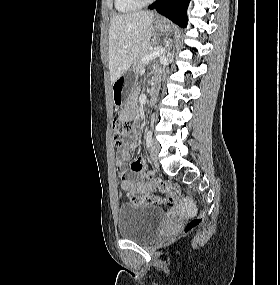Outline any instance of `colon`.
I'll list each match as a JSON object with an SVG mask.
<instances>
[{
  "instance_id": "1",
  "label": "colon",
  "mask_w": 280,
  "mask_h": 285,
  "mask_svg": "<svg viewBox=\"0 0 280 285\" xmlns=\"http://www.w3.org/2000/svg\"><path fill=\"white\" fill-rule=\"evenodd\" d=\"M130 123L122 118L121 116H115L112 121V131H113V141L116 146H121L124 142L125 137L129 133ZM149 178H152V174L147 172ZM155 185L162 191L165 192V197L163 199H159L152 195H142L139 193H129L128 199L133 204H138L142 202H161L168 206H172L176 203L179 198L178 188L170 183L155 180ZM204 213H200L199 215L191 218L185 225L184 231L189 233L196 228H198L204 220Z\"/></svg>"
}]
</instances>
